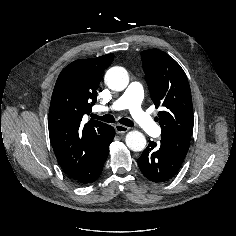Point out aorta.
<instances>
[{
	"label": "aorta",
	"mask_w": 236,
	"mask_h": 236,
	"mask_svg": "<svg viewBox=\"0 0 236 236\" xmlns=\"http://www.w3.org/2000/svg\"><path fill=\"white\" fill-rule=\"evenodd\" d=\"M106 85L115 91L124 90L129 83V76L123 67L110 68L104 77ZM126 145L132 151H142L146 146L145 136L139 131H130L127 133Z\"/></svg>",
	"instance_id": "aorta-1"
}]
</instances>
